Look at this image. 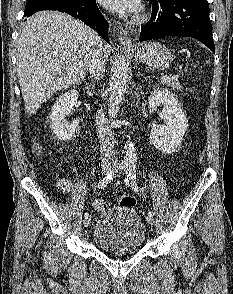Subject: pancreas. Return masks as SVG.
<instances>
[{"instance_id":"1","label":"pancreas","mask_w":233,"mask_h":294,"mask_svg":"<svg viewBox=\"0 0 233 294\" xmlns=\"http://www.w3.org/2000/svg\"><path fill=\"white\" fill-rule=\"evenodd\" d=\"M164 85L171 87L172 89H177L178 91L182 90L180 83L174 79H168L162 82Z\"/></svg>"}]
</instances>
